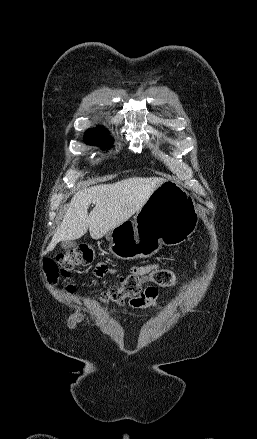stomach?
<instances>
[{
    "label": "stomach",
    "mask_w": 257,
    "mask_h": 439,
    "mask_svg": "<svg viewBox=\"0 0 257 439\" xmlns=\"http://www.w3.org/2000/svg\"><path fill=\"white\" fill-rule=\"evenodd\" d=\"M199 221L194 196L179 183L164 181L134 216L106 234L109 250L131 260L156 254L162 244L178 245L189 238Z\"/></svg>",
    "instance_id": "obj_1"
}]
</instances>
